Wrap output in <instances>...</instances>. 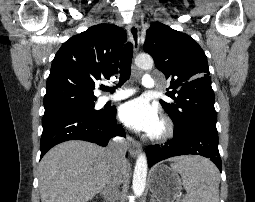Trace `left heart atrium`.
Returning a JSON list of instances; mask_svg holds the SVG:
<instances>
[{
  "label": "left heart atrium",
  "mask_w": 255,
  "mask_h": 202,
  "mask_svg": "<svg viewBox=\"0 0 255 202\" xmlns=\"http://www.w3.org/2000/svg\"><path fill=\"white\" fill-rule=\"evenodd\" d=\"M119 118L128 127L148 134H153L160 125L158 109L142 98L123 104Z\"/></svg>",
  "instance_id": "obj_1"
}]
</instances>
